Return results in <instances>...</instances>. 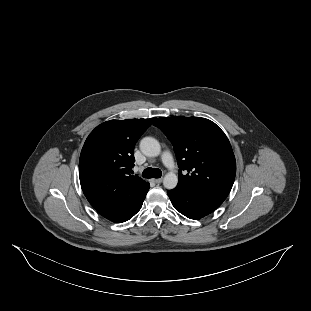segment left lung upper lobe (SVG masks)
<instances>
[{"instance_id": "5c2ea615", "label": "left lung upper lobe", "mask_w": 311, "mask_h": 311, "mask_svg": "<svg viewBox=\"0 0 311 311\" xmlns=\"http://www.w3.org/2000/svg\"><path fill=\"white\" fill-rule=\"evenodd\" d=\"M154 125L173 144L180 167L177 186L226 199L234 183L236 161L224 132L200 117H161Z\"/></svg>"}]
</instances>
